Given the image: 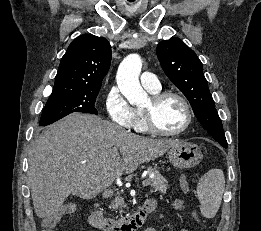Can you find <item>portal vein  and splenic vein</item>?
<instances>
[{
	"mask_svg": "<svg viewBox=\"0 0 261 231\" xmlns=\"http://www.w3.org/2000/svg\"><path fill=\"white\" fill-rule=\"evenodd\" d=\"M149 185V180L147 179V180H143L142 181V186H148Z\"/></svg>",
	"mask_w": 261,
	"mask_h": 231,
	"instance_id": "obj_1",
	"label": "portal vein and splenic vein"
}]
</instances>
